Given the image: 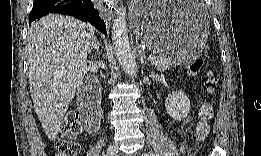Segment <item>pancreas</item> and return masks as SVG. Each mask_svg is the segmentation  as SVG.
Listing matches in <instances>:
<instances>
[{
    "mask_svg": "<svg viewBox=\"0 0 261 156\" xmlns=\"http://www.w3.org/2000/svg\"><path fill=\"white\" fill-rule=\"evenodd\" d=\"M154 54L156 56V59L152 61V64L155 66L156 69H168L174 64L170 56L164 55L162 53Z\"/></svg>",
    "mask_w": 261,
    "mask_h": 156,
    "instance_id": "cf45deb5",
    "label": "pancreas"
}]
</instances>
